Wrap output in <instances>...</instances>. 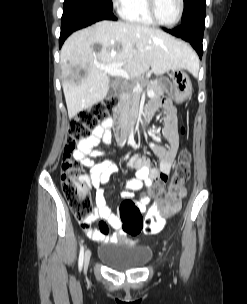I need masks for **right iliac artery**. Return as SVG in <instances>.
Segmentation results:
<instances>
[{"label":"right iliac artery","mask_w":247,"mask_h":304,"mask_svg":"<svg viewBox=\"0 0 247 304\" xmlns=\"http://www.w3.org/2000/svg\"><path fill=\"white\" fill-rule=\"evenodd\" d=\"M83 259H84V247L83 245L80 247V252H79V260H78V267L79 270L82 269L83 266Z\"/></svg>","instance_id":"1"}]
</instances>
